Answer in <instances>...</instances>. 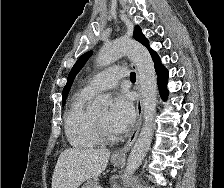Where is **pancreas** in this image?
<instances>
[{
  "instance_id": "obj_1",
  "label": "pancreas",
  "mask_w": 224,
  "mask_h": 188,
  "mask_svg": "<svg viewBox=\"0 0 224 188\" xmlns=\"http://www.w3.org/2000/svg\"><path fill=\"white\" fill-rule=\"evenodd\" d=\"M97 185H98L97 178L94 177V178L88 180V181L82 186V188H95Z\"/></svg>"
}]
</instances>
